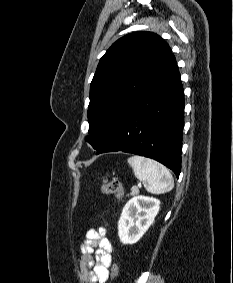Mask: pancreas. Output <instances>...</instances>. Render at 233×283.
<instances>
[{
    "mask_svg": "<svg viewBox=\"0 0 233 283\" xmlns=\"http://www.w3.org/2000/svg\"><path fill=\"white\" fill-rule=\"evenodd\" d=\"M138 193H139L138 188L137 187H132L130 195L134 196V195H137Z\"/></svg>",
    "mask_w": 233,
    "mask_h": 283,
    "instance_id": "1",
    "label": "pancreas"
}]
</instances>
